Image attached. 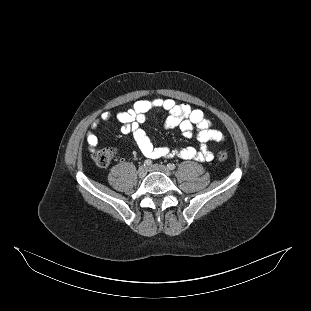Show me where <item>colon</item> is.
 Here are the masks:
<instances>
[{
  "mask_svg": "<svg viewBox=\"0 0 311 311\" xmlns=\"http://www.w3.org/2000/svg\"><path fill=\"white\" fill-rule=\"evenodd\" d=\"M115 149L111 147H104L97 150H93L92 159L100 167H106L110 164L115 156ZM228 158L226 151H220L217 154L219 161H225Z\"/></svg>",
  "mask_w": 311,
  "mask_h": 311,
  "instance_id": "5ec220e1",
  "label": "colon"
}]
</instances>
